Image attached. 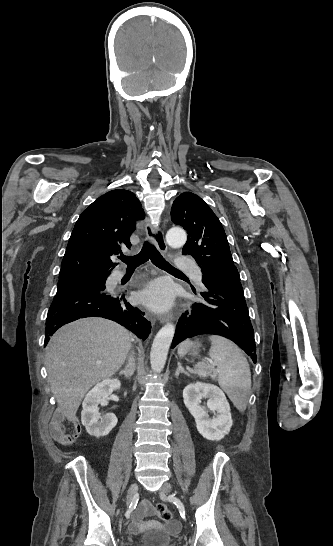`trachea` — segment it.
Instances as JSON below:
<instances>
[{
    "label": "trachea",
    "mask_w": 333,
    "mask_h": 546,
    "mask_svg": "<svg viewBox=\"0 0 333 546\" xmlns=\"http://www.w3.org/2000/svg\"><path fill=\"white\" fill-rule=\"evenodd\" d=\"M119 259L127 264L128 268H136L139 265L145 263L149 259H151V262L157 266L158 268L168 271V272H174V273H180L182 272L176 268H174L172 265H170L160 254V252L156 249V247L148 242H146L141 251L134 256H120Z\"/></svg>",
    "instance_id": "trachea-1"
}]
</instances>
